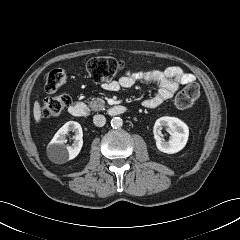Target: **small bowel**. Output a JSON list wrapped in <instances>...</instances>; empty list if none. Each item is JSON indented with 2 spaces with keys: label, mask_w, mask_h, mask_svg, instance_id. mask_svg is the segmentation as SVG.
<instances>
[{
  "label": "small bowel",
  "mask_w": 240,
  "mask_h": 240,
  "mask_svg": "<svg viewBox=\"0 0 240 240\" xmlns=\"http://www.w3.org/2000/svg\"><path fill=\"white\" fill-rule=\"evenodd\" d=\"M195 80L193 74L185 72L178 66H171L164 70L126 72L118 80L103 84V89L118 91L122 88H131L139 82L155 84L158 87L157 93L143 102L145 108L154 109L171 99L180 85H189Z\"/></svg>",
  "instance_id": "c3829d8e"
}]
</instances>
